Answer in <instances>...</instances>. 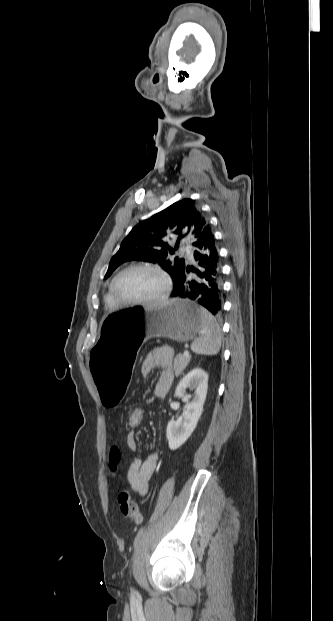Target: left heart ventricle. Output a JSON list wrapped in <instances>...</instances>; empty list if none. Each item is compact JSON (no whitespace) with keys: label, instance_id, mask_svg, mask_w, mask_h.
<instances>
[{"label":"left heart ventricle","instance_id":"obj_1","mask_svg":"<svg viewBox=\"0 0 333 621\" xmlns=\"http://www.w3.org/2000/svg\"><path fill=\"white\" fill-rule=\"evenodd\" d=\"M164 282L155 272L134 270L117 282V293L124 300H143L158 297L164 291Z\"/></svg>","mask_w":333,"mask_h":621}]
</instances>
